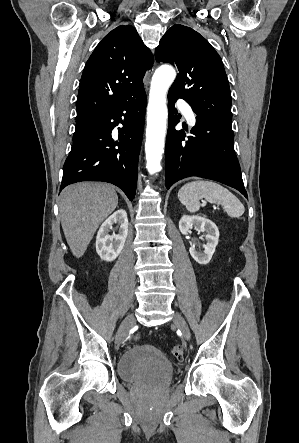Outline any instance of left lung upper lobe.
Returning a JSON list of instances; mask_svg holds the SVG:
<instances>
[{"label":"left lung upper lobe","mask_w":299,"mask_h":443,"mask_svg":"<svg viewBox=\"0 0 299 443\" xmlns=\"http://www.w3.org/2000/svg\"><path fill=\"white\" fill-rule=\"evenodd\" d=\"M158 62L177 67L169 94L184 99L197 115L231 128V93L222 60L210 43L192 28L176 24L155 50Z\"/></svg>","instance_id":"5c2ea615"}]
</instances>
